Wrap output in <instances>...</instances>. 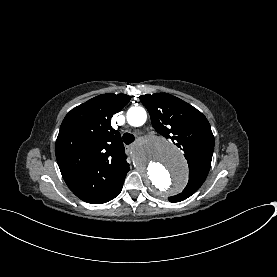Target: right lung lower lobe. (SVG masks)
<instances>
[{
  "label": "right lung lower lobe",
  "instance_id": "1",
  "mask_svg": "<svg viewBox=\"0 0 277 277\" xmlns=\"http://www.w3.org/2000/svg\"><path fill=\"white\" fill-rule=\"evenodd\" d=\"M126 177V176H125ZM125 179V178H124ZM124 179L123 181L121 182V184H119V186L116 188V190L110 195L108 196L107 198L95 203V204H101V203H105V202H108L110 200H112L113 198H115L122 190V186H123V183H124Z\"/></svg>",
  "mask_w": 277,
  "mask_h": 277
}]
</instances>
